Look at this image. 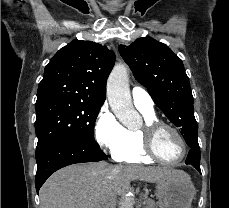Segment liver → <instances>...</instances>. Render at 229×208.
I'll list each match as a JSON object with an SVG mask.
<instances>
[{
  "instance_id": "1",
  "label": "liver",
  "mask_w": 229,
  "mask_h": 208,
  "mask_svg": "<svg viewBox=\"0 0 229 208\" xmlns=\"http://www.w3.org/2000/svg\"><path fill=\"white\" fill-rule=\"evenodd\" d=\"M161 178H188L174 168L159 166H109L107 162L73 164L52 174L42 186L41 208H115L117 196L132 180L157 182Z\"/></svg>"
}]
</instances>
